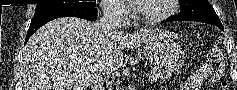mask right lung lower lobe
I'll list each match as a JSON object with an SVG mask.
<instances>
[{
	"label": "right lung lower lobe",
	"instance_id": "1",
	"mask_svg": "<svg viewBox=\"0 0 237 90\" xmlns=\"http://www.w3.org/2000/svg\"><path fill=\"white\" fill-rule=\"evenodd\" d=\"M59 17H78L90 21H95L97 19V9L86 7L63 8L47 14L34 16L31 20L30 27L26 35L25 43L29 40L32 34L42 25Z\"/></svg>",
	"mask_w": 237,
	"mask_h": 90
}]
</instances>
